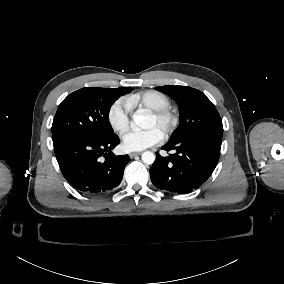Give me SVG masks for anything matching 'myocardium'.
Instances as JSON below:
<instances>
[{"instance_id": "obj_1", "label": "myocardium", "mask_w": 284, "mask_h": 284, "mask_svg": "<svg viewBox=\"0 0 284 284\" xmlns=\"http://www.w3.org/2000/svg\"><path fill=\"white\" fill-rule=\"evenodd\" d=\"M152 116L161 125V133L164 138H167L174 130L176 125V117L170 109L155 110Z\"/></svg>"}]
</instances>
